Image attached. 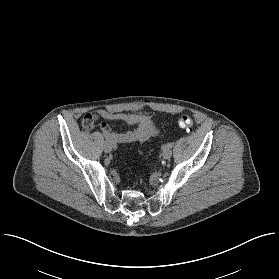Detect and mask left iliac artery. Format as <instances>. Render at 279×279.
<instances>
[{
  "mask_svg": "<svg viewBox=\"0 0 279 279\" xmlns=\"http://www.w3.org/2000/svg\"><path fill=\"white\" fill-rule=\"evenodd\" d=\"M175 143L174 142H171V143H168V144H166V145H163V149H170V148H172L173 147V145H174Z\"/></svg>",
  "mask_w": 279,
  "mask_h": 279,
  "instance_id": "left-iliac-artery-1",
  "label": "left iliac artery"
}]
</instances>
